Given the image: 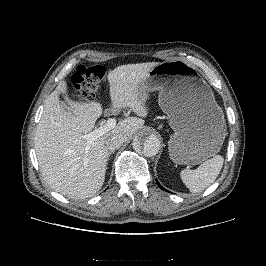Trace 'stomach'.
<instances>
[{
  "label": "stomach",
  "instance_id": "stomach-1",
  "mask_svg": "<svg viewBox=\"0 0 266 266\" xmlns=\"http://www.w3.org/2000/svg\"><path fill=\"white\" fill-rule=\"evenodd\" d=\"M140 89L142 97L159 91V106L174 130L168 142L174 163L196 165L219 152L226 136L224 115L195 67L182 60L159 63Z\"/></svg>",
  "mask_w": 266,
  "mask_h": 266
}]
</instances>
